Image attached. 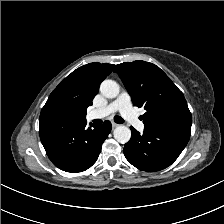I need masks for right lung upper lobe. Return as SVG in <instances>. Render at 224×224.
I'll return each instance as SVG.
<instances>
[{
  "label": "right lung upper lobe",
  "instance_id": "cb5924a9",
  "mask_svg": "<svg viewBox=\"0 0 224 224\" xmlns=\"http://www.w3.org/2000/svg\"><path fill=\"white\" fill-rule=\"evenodd\" d=\"M113 64L89 63L69 74L53 90L49 97L63 96L70 100L86 121V110L98 92L100 83L109 75Z\"/></svg>",
  "mask_w": 224,
  "mask_h": 224
}]
</instances>
